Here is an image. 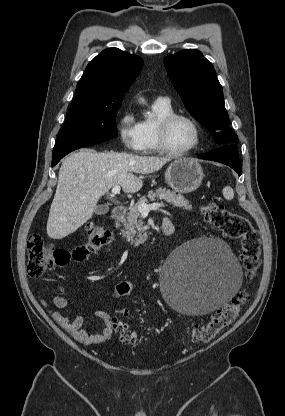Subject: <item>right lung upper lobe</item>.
<instances>
[{
    "mask_svg": "<svg viewBox=\"0 0 285 416\" xmlns=\"http://www.w3.org/2000/svg\"><path fill=\"white\" fill-rule=\"evenodd\" d=\"M142 66L143 60L139 56L118 48L103 50L87 65L77 84L74 101L102 103L122 100Z\"/></svg>",
    "mask_w": 285,
    "mask_h": 416,
    "instance_id": "1",
    "label": "right lung upper lobe"
}]
</instances>
